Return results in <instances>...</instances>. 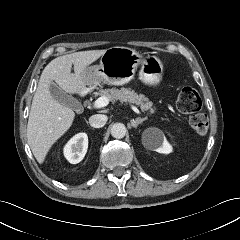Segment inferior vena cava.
Here are the masks:
<instances>
[{
	"mask_svg": "<svg viewBox=\"0 0 240 240\" xmlns=\"http://www.w3.org/2000/svg\"><path fill=\"white\" fill-rule=\"evenodd\" d=\"M106 122H107V116L102 114L92 115L89 118V123L94 128H101L106 124Z\"/></svg>",
	"mask_w": 240,
	"mask_h": 240,
	"instance_id": "602c4592",
	"label": "inferior vena cava"
}]
</instances>
